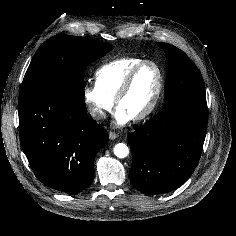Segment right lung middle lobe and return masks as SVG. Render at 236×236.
I'll list each match as a JSON object with an SVG mask.
<instances>
[{"instance_id": "1", "label": "right lung middle lobe", "mask_w": 236, "mask_h": 236, "mask_svg": "<svg viewBox=\"0 0 236 236\" xmlns=\"http://www.w3.org/2000/svg\"><path fill=\"white\" fill-rule=\"evenodd\" d=\"M113 46L85 37L55 35L35 53L22 82L20 96L39 90L66 91L82 98L87 65Z\"/></svg>"}]
</instances>
